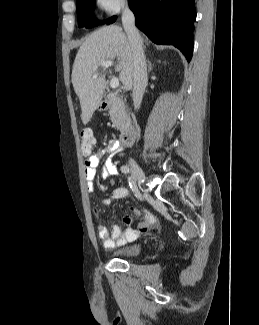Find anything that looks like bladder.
<instances>
[{
	"label": "bladder",
	"instance_id": "bladder-1",
	"mask_svg": "<svg viewBox=\"0 0 259 325\" xmlns=\"http://www.w3.org/2000/svg\"><path fill=\"white\" fill-rule=\"evenodd\" d=\"M140 251V244H130L114 249L111 256L114 258H134L139 255Z\"/></svg>",
	"mask_w": 259,
	"mask_h": 325
}]
</instances>
